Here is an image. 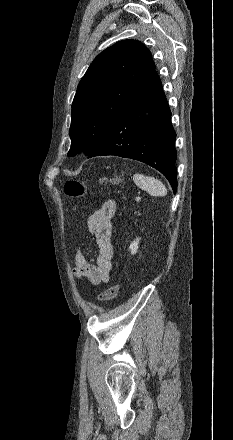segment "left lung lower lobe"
Here are the masks:
<instances>
[{"mask_svg": "<svg viewBox=\"0 0 233 440\" xmlns=\"http://www.w3.org/2000/svg\"><path fill=\"white\" fill-rule=\"evenodd\" d=\"M176 133L156 71L115 119L88 158L115 155L142 161L159 170L177 190Z\"/></svg>", "mask_w": 233, "mask_h": 440, "instance_id": "obj_1", "label": "left lung lower lobe"}]
</instances>
